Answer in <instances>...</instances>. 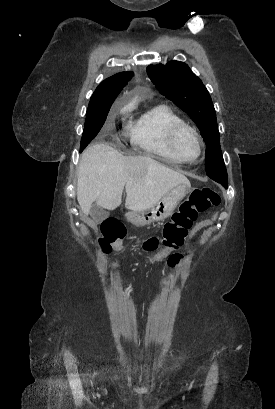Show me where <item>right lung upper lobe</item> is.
I'll list each match as a JSON object with an SVG mask.
<instances>
[{"label": "right lung upper lobe", "instance_id": "right-lung-upper-lobe-1", "mask_svg": "<svg viewBox=\"0 0 275 409\" xmlns=\"http://www.w3.org/2000/svg\"><path fill=\"white\" fill-rule=\"evenodd\" d=\"M132 74V72H121L101 82L93 93L88 108L99 109L111 106Z\"/></svg>", "mask_w": 275, "mask_h": 409}]
</instances>
